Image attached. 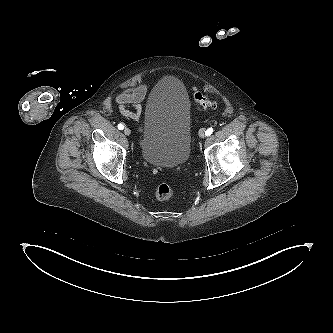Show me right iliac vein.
I'll return each mask as SVG.
<instances>
[{"label": "right iliac vein", "mask_w": 333, "mask_h": 333, "mask_svg": "<svg viewBox=\"0 0 333 333\" xmlns=\"http://www.w3.org/2000/svg\"><path fill=\"white\" fill-rule=\"evenodd\" d=\"M124 134L129 136L131 134V130L129 128L124 129Z\"/></svg>", "instance_id": "63e3f726"}]
</instances>
